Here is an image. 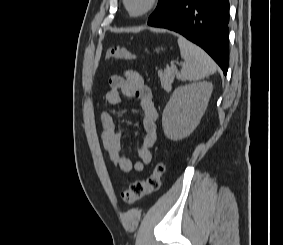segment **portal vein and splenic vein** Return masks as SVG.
Returning <instances> with one entry per match:
<instances>
[{
    "label": "portal vein and splenic vein",
    "mask_w": 283,
    "mask_h": 245,
    "mask_svg": "<svg viewBox=\"0 0 283 245\" xmlns=\"http://www.w3.org/2000/svg\"><path fill=\"white\" fill-rule=\"evenodd\" d=\"M171 69H172V70H175V69H176V65H175L173 62L171 63Z\"/></svg>",
    "instance_id": "portal-vein-and-splenic-vein-1"
}]
</instances>
